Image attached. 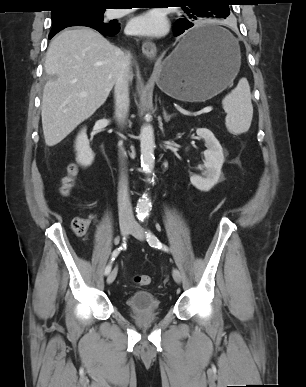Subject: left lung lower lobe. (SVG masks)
Masks as SVG:
<instances>
[{
	"mask_svg": "<svg viewBox=\"0 0 306 387\" xmlns=\"http://www.w3.org/2000/svg\"><path fill=\"white\" fill-rule=\"evenodd\" d=\"M194 24L186 19H178L174 26V35L179 36L184 33V48L193 49L203 44L223 40V32L208 29L196 32H187Z\"/></svg>",
	"mask_w": 306,
	"mask_h": 387,
	"instance_id": "1",
	"label": "left lung lower lobe"
}]
</instances>
